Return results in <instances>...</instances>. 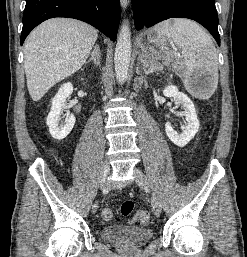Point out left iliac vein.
<instances>
[{"mask_svg":"<svg viewBox=\"0 0 247 257\" xmlns=\"http://www.w3.org/2000/svg\"><path fill=\"white\" fill-rule=\"evenodd\" d=\"M134 174H135V182L140 186L144 188H150V183L146 177V175L139 170L138 168L134 169ZM152 207L155 213L159 214L162 211V205L159 200V198L152 193Z\"/></svg>","mask_w":247,"mask_h":257,"instance_id":"4c4485c4","label":"left iliac vein"}]
</instances>
